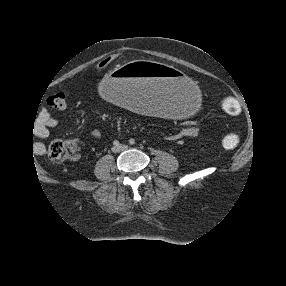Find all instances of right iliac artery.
Wrapping results in <instances>:
<instances>
[{
	"label": "right iliac artery",
	"instance_id": "82829eb1",
	"mask_svg": "<svg viewBox=\"0 0 286 286\" xmlns=\"http://www.w3.org/2000/svg\"><path fill=\"white\" fill-rule=\"evenodd\" d=\"M113 144H114L115 146H118V145H119V141L115 140V141L113 142Z\"/></svg>",
	"mask_w": 286,
	"mask_h": 286
}]
</instances>
